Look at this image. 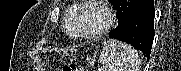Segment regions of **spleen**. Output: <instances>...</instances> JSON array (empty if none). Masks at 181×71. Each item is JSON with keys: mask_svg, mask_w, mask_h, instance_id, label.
<instances>
[{"mask_svg": "<svg viewBox=\"0 0 181 71\" xmlns=\"http://www.w3.org/2000/svg\"><path fill=\"white\" fill-rule=\"evenodd\" d=\"M102 47L99 57L101 71H138L139 54L131 46L120 41L107 40Z\"/></svg>", "mask_w": 181, "mask_h": 71, "instance_id": "3e777b00", "label": "spleen"}]
</instances>
